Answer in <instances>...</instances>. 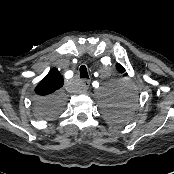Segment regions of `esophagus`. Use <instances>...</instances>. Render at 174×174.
<instances>
[{
  "label": "esophagus",
  "instance_id": "1",
  "mask_svg": "<svg viewBox=\"0 0 174 174\" xmlns=\"http://www.w3.org/2000/svg\"><path fill=\"white\" fill-rule=\"evenodd\" d=\"M82 89H84V90H87L88 88H89V86H90V80H88V79H84V80H82Z\"/></svg>",
  "mask_w": 174,
  "mask_h": 174
}]
</instances>
